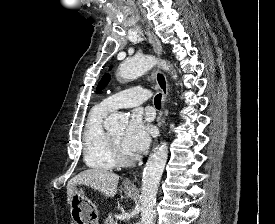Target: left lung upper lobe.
I'll list each match as a JSON object with an SVG mask.
<instances>
[{
	"label": "left lung upper lobe",
	"mask_w": 275,
	"mask_h": 224,
	"mask_svg": "<svg viewBox=\"0 0 275 224\" xmlns=\"http://www.w3.org/2000/svg\"><path fill=\"white\" fill-rule=\"evenodd\" d=\"M109 80H110V75L108 73H106L102 77L101 81L99 82V84L97 86V89H96V93L101 92L106 87V85L108 84Z\"/></svg>",
	"instance_id": "obj_1"
}]
</instances>
